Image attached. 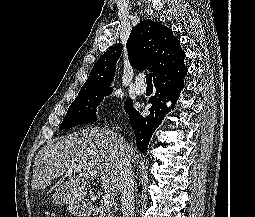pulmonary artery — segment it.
Here are the masks:
<instances>
[{"label":"pulmonary artery","mask_w":255,"mask_h":217,"mask_svg":"<svg viewBox=\"0 0 255 217\" xmlns=\"http://www.w3.org/2000/svg\"><path fill=\"white\" fill-rule=\"evenodd\" d=\"M143 81H144L143 75H139L135 80L134 90L137 95H143L146 91V87L144 85H141Z\"/></svg>","instance_id":"1"}]
</instances>
